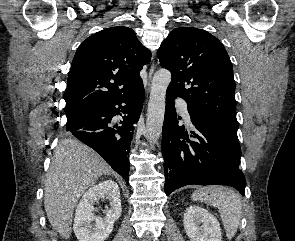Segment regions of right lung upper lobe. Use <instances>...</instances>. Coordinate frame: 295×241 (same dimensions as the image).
Listing matches in <instances>:
<instances>
[{
	"mask_svg": "<svg viewBox=\"0 0 295 241\" xmlns=\"http://www.w3.org/2000/svg\"><path fill=\"white\" fill-rule=\"evenodd\" d=\"M149 61L150 51L131 28L111 27L88 37L78 47L68 74L66 116L130 93L142 84L139 72Z\"/></svg>",
	"mask_w": 295,
	"mask_h": 241,
	"instance_id": "right-lung-upper-lobe-1",
	"label": "right lung upper lobe"
}]
</instances>
